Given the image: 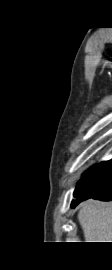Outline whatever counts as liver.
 Masks as SVG:
<instances>
[{"mask_svg": "<svg viewBox=\"0 0 112 270\" xmlns=\"http://www.w3.org/2000/svg\"><path fill=\"white\" fill-rule=\"evenodd\" d=\"M78 221L86 242H112V203L86 202Z\"/></svg>", "mask_w": 112, "mask_h": 270, "instance_id": "liver-1", "label": "liver"}]
</instances>
